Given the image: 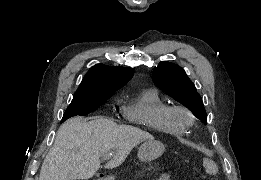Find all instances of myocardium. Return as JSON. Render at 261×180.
Here are the masks:
<instances>
[{"label":"myocardium","mask_w":261,"mask_h":180,"mask_svg":"<svg viewBox=\"0 0 261 180\" xmlns=\"http://www.w3.org/2000/svg\"><path fill=\"white\" fill-rule=\"evenodd\" d=\"M166 122L171 126L186 127L192 121L191 111L184 105H170L164 113Z\"/></svg>","instance_id":"1"}]
</instances>
